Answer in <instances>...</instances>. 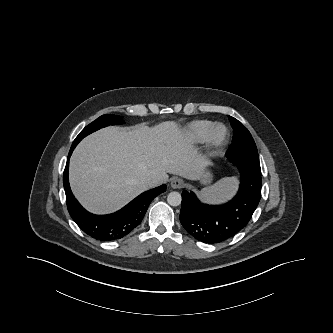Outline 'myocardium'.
<instances>
[{
	"label": "myocardium",
	"instance_id": "f54148a6",
	"mask_svg": "<svg viewBox=\"0 0 333 333\" xmlns=\"http://www.w3.org/2000/svg\"><path fill=\"white\" fill-rule=\"evenodd\" d=\"M228 129L222 124H214L211 127L208 139L210 142V148L213 151H218L224 147L228 139Z\"/></svg>",
	"mask_w": 333,
	"mask_h": 333
}]
</instances>
